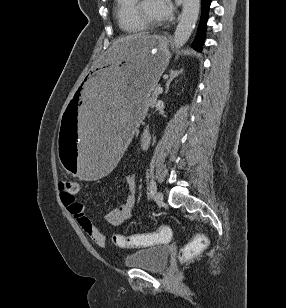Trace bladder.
<instances>
[{
    "mask_svg": "<svg viewBox=\"0 0 286 308\" xmlns=\"http://www.w3.org/2000/svg\"><path fill=\"white\" fill-rule=\"evenodd\" d=\"M169 254L170 251L167 245L149 246L128 255L124 264L130 268L162 271L168 264Z\"/></svg>",
    "mask_w": 286,
    "mask_h": 308,
    "instance_id": "bladder-1",
    "label": "bladder"
}]
</instances>
